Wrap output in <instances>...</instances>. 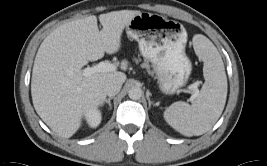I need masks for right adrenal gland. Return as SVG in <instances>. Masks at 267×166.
<instances>
[{
	"label": "right adrenal gland",
	"mask_w": 267,
	"mask_h": 166,
	"mask_svg": "<svg viewBox=\"0 0 267 166\" xmlns=\"http://www.w3.org/2000/svg\"><path fill=\"white\" fill-rule=\"evenodd\" d=\"M114 97L113 96H110L108 99L105 100L104 104H108L109 105V110L112 109V106H111V100L113 99Z\"/></svg>",
	"instance_id": "1"
}]
</instances>
